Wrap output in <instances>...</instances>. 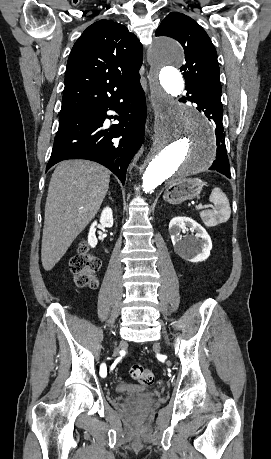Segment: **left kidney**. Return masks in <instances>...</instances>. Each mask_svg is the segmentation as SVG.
<instances>
[{"mask_svg":"<svg viewBox=\"0 0 271 459\" xmlns=\"http://www.w3.org/2000/svg\"><path fill=\"white\" fill-rule=\"evenodd\" d=\"M186 228L196 229L195 235H192L190 239L180 235L182 229ZM169 233L178 255H182L188 261H203V259L209 257L210 249H212L211 237L206 229L202 228L192 218H185V216L183 218H180V216L172 218L169 224Z\"/></svg>","mask_w":271,"mask_h":459,"instance_id":"left-kidney-1","label":"left kidney"}]
</instances>
